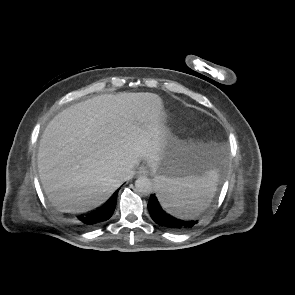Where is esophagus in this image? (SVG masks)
Wrapping results in <instances>:
<instances>
[{
	"label": "esophagus",
	"mask_w": 295,
	"mask_h": 295,
	"mask_svg": "<svg viewBox=\"0 0 295 295\" xmlns=\"http://www.w3.org/2000/svg\"><path fill=\"white\" fill-rule=\"evenodd\" d=\"M148 173H149V170H148V168L146 166L139 167V169L137 171V174L140 175V176L141 175H148Z\"/></svg>",
	"instance_id": "1"
}]
</instances>
